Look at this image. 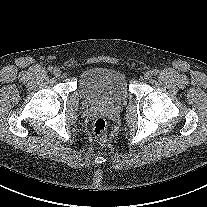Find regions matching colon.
<instances>
[{
	"mask_svg": "<svg viewBox=\"0 0 207 207\" xmlns=\"http://www.w3.org/2000/svg\"><path fill=\"white\" fill-rule=\"evenodd\" d=\"M93 130L98 140L100 141L106 140L108 125L104 118L99 117L94 121Z\"/></svg>",
	"mask_w": 207,
	"mask_h": 207,
	"instance_id": "5ec220e1",
	"label": "colon"
}]
</instances>
